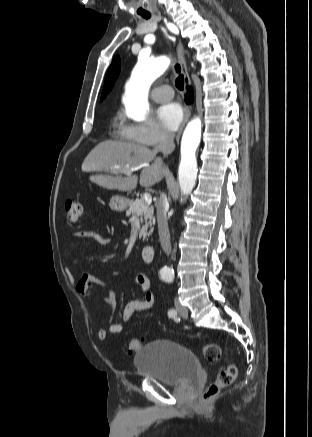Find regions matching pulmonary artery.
I'll list each match as a JSON object with an SVG mask.
<instances>
[{
  "instance_id": "1",
  "label": "pulmonary artery",
  "mask_w": 312,
  "mask_h": 437,
  "mask_svg": "<svg viewBox=\"0 0 312 437\" xmlns=\"http://www.w3.org/2000/svg\"><path fill=\"white\" fill-rule=\"evenodd\" d=\"M151 97L156 102H167L173 98V90L168 85H161L152 90Z\"/></svg>"
}]
</instances>
